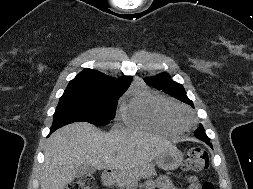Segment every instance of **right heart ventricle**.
Instances as JSON below:
<instances>
[{
    "instance_id": "e07e8e85",
    "label": "right heart ventricle",
    "mask_w": 253,
    "mask_h": 189,
    "mask_svg": "<svg viewBox=\"0 0 253 189\" xmlns=\"http://www.w3.org/2000/svg\"><path fill=\"white\" fill-rule=\"evenodd\" d=\"M176 104L145 90L131 92L121 106L124 124L133 129L153 131L164 135H177L180 131L171 123L167 111Z\"/></svg>"
}]
</instances>
